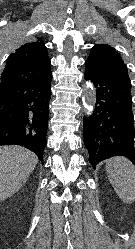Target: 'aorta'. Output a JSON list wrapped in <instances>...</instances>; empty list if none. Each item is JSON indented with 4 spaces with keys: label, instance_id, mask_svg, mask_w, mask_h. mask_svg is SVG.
<instances>
[{
    "label": "aorta",
    "instance_id": "aorta-1",
    "mask_svg": "<svg viewBox=\"0 0 135 249\" xmlns=\"http://www.w3.org/2000/svg\"><path fill=\"white\" fill-rule=\"evenodd\" d=\"M82 101L85 108V112L91 115L96 103V92L91 83L83 85Z\"/></svg>",
    "mask_w": 135,
    "mask_h": 249
}]
</instances>
